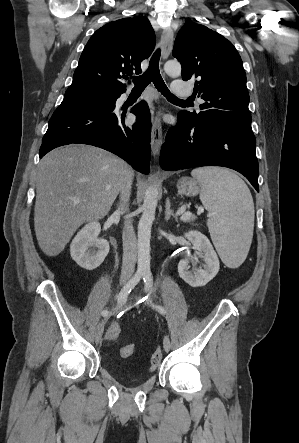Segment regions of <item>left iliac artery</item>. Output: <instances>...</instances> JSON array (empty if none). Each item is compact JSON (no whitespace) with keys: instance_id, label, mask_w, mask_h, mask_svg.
I'll return each instance as SVG.
<instances>
[{"instance_id":"obj_1","label":"left iliac artery","mask_w":299,"mask_h":443,"mask_svg":"<svg viewBox=\"0 0 299 443\" xmlns=\"http://www.w3.org/2000/svg\"><path fill=\"white\" fill-rule=\"evenodd\" d=\"M143 280L145 283V290L146 292H150L152 289V285H153V278H152V274L151 272L147 271L143 274ZM148 299V297H145L144 300ZM153 308H155L158 312H160L161 314H165L166 310L164 307L160 306V305H155V304H151Z\"/></svg>"}]
</instances>
